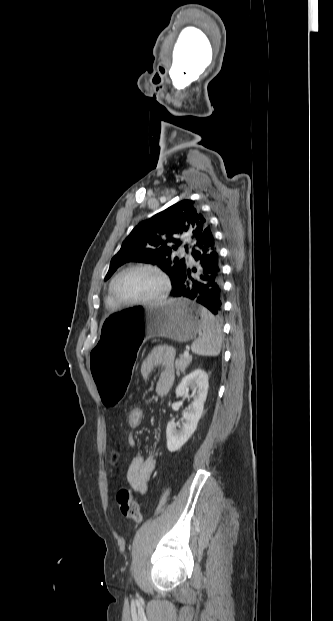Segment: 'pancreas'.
Here are the masks:
<instances>
[{
    "instance_id": "cf45deb5",
    "label": "pancreas",
    "mask_w": 333,
    "mask_h": 621,
    "mask_svg": "<svg viewBox=\"0 0 333 621\" xmlns=\"http://www.w3.org/2000/svg\"><path fill=\"white\" fill-rule=\"evenodd\" d=\"M192 361V357H185V356H180L179 359L175 360V368H176V374L179 375L180 372H184L185 369L188 367V365L190 364V362Z\"/></svg>"
}]
</instances>
